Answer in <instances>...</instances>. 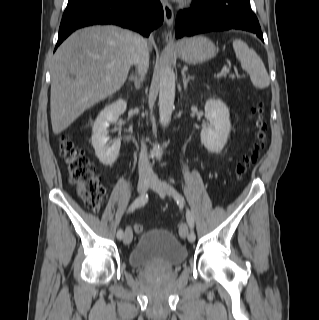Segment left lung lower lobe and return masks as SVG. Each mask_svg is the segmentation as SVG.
<instances>
[{"instance_id":"left-lung-lower-lobe-1","label":"left lung lower lobe","mask_w":319,"mask_h":320,"mask_svg":"<svg viewBox=\"0 0 319 320\" xmlns=\"http://www.w3.org/2000/svg\"><path fill=\"white\" fill-rule=\"evenodd\" d=\"M229 29L256 33L263 41L249 0H193L190 9L178 13L175 24L177 38Z\"/></svg>"}]
</instances>
